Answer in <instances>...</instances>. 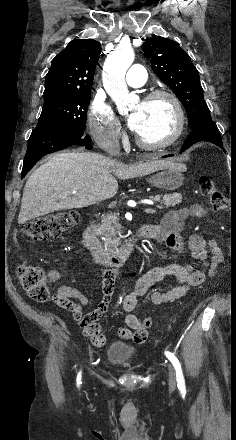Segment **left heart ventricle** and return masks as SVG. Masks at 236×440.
<instances>
[{
    "instance_id": "1",
    "label": "left heart ventricle",
    "mask_w": 236,
    "mask_h": 440,
    "mask_svg": "<svg viewBox=\"0 0 236 440\" xmlns=\"http://www.w3.org/2000/svg\"><path fill=\"white\" fill-rule=\"evenodd\" d=\"M141 109L143 120L136 132L142 140L149 143H159L168 139L175 128V113L167 98H158L141 102L134 110Z\"/></svg>"
}]
</instances>
